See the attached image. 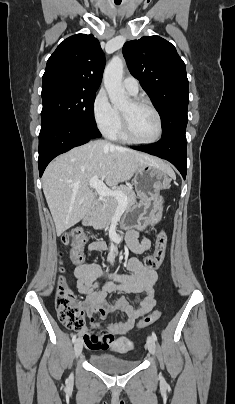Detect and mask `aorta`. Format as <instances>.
Segmentation results:
<instances>
[{"mask_svg": "<svg viewBox=\"0 0 235 404\" xmlns=\"http://www.w3.org/2000/svg\"><path fill=\"white\" fill-rule=\"evenodd\" d=\"M123 68V60L119 56H114L104 72V86L115 108H122L129 103V97L122 86Z\"/></svg>", "mask_w": 235, "mask_h": 404, "instance_id": "obj_1", "label": "aorta"}]
</instances>
